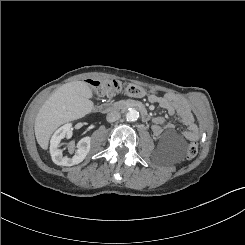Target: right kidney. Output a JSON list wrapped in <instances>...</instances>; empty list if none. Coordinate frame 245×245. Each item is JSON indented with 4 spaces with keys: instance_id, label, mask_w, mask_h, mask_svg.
I'll return each instance as SVG.
<instances>
[{
    "instance_id": "1",
    "label": "right kidney",
    "mask_w": 245,
    "mask_h": 245,
    "mask_svg": "<svg viewBox=\"0 0 245 245\" xmlns=\"http://www.w3.org/2000/svg\"><path fill=\"white\" fill-rule=\"evenodd\" d=\"M73 134V129L71 124H66L60 127L55 131L54 135L51 138L50 144V154L52 157V161L60 166H73L81 163L86 155L90 151L91 146V138L84 137L77 144L76 154L73 157L63 156V150L60 148L61 140L66 138H71ZM69 153L72 154L75 151V146L70 145Z\"/></svg>"
}]
</instances>
